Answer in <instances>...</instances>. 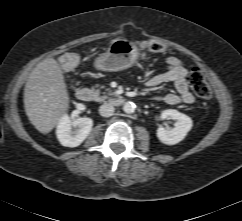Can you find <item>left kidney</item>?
<instances>
[{
	"label": "left kidney",
	"instance_id": "left-kidney-1",
	"mask_svg": "<svg viewBox=\"0 0 242 221\" xmlns=\"http://www.w3.org/2000/svg\"><path fill=\"white\" fill-rule=\"evenodd\" d=\"M161 118L176 120L174 128L171 130L162 126L157 129L156 134L158 139L166 145H175L182 141L193 125L192 119L189 116L174 109L164 110L161 113Z\"/></svg>",
	"mask_w": 242,
	"mask_h": 221
}]
</instances>
